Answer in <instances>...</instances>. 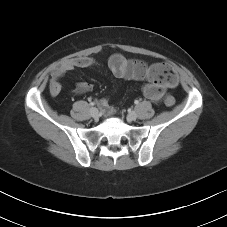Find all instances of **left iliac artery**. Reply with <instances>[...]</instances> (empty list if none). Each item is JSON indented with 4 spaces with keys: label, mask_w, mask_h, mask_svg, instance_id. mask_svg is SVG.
Listing matches in <instances>:
<instances>
[{
    "label": "left iliac artery",
    "mask_w": 227,
    "mask_h": 227,
    "mask_svg": "<svg viewBox=\"0 0 227 227\" xmlns=\"http://www.w3.org/2000/svg\"><path fill=\"white\" fill-rule=\"evenodd\" d=\"M134 103L137 105V104H139V101H138V100H135V102H134Z\"/></svg>",
    "instance_id": "left-iliac-artery-1"
}]
</instances>
